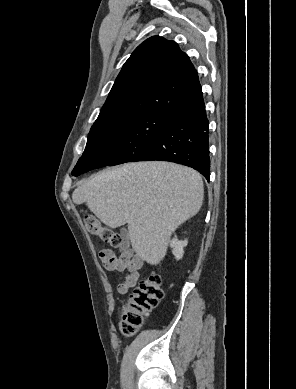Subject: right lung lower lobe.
Returning a JSON list of instances; mask_svg holds the SVG:
<instances>
[{"label": "right lung lower lobe", "instance_id": "1", "mask_svg": "<svg viewBox=\"0 0 296 389\" xmlns=\"http://www.w3.org/2000/svg\"><path fill=\"white\" fill-rule=\"evenodd\" d=\"M209 123L205 105L177 116L170 126L146 149L139 161H170L199 171L208 181L210 175ZM94 169L74 168L78 176Z\"/></svg>", "mask_w": 296, "mask_h": 389}]
</instances>
